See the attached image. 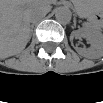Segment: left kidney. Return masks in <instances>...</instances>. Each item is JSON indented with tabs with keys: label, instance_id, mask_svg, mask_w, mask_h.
Returning <instances> with one entry per match:
<instances>
[{
	"label": "left kidney",
	"instance_id": "1",
	"mask_svg": "<svg viewBox=\"0 0 103 103\" xmlns=\"http://www.w3.org/2000/svg\"><path fill=\"white\" fill-rule=\"evenodd\" d=\"M76 36L86 38L91 44V47L89 49L75 47L77 52L91 59H95L102 56V38L101 37L95 36L94 34L89 32L77 30L71 33L70 40H72L73 37H76Z\"/></svg>",
	"mask_w": 103,
	"mask_h": 103
}]
</instances>
